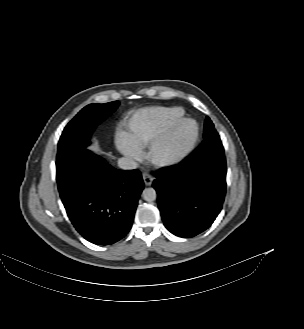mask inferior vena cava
<instances>
[{
    "mask_svg": "<svg viewBox=\"0 0 304 329\" xmlns=\"http://www.w3.org/2000/svg\"><path fill=\"white\" fill-rule=\"evenodd\" d=\"M118 166L121 168V169H136L138 164L135 160L131 159V158H125V157H122L118 160Z\"/></svg>",
    "mask_w": 304,
    "mask_h": 329,
    "instance_id": "1",
    "label": "inferior vena cava"
}]
</instances>
